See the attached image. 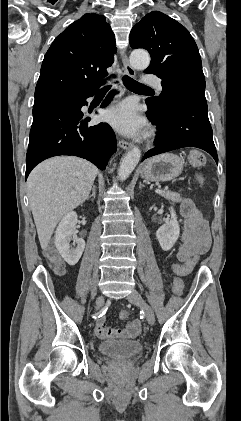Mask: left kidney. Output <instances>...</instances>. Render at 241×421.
<instances>
[{
    "instance_id": "left-kidney-1",
    "label": "left kidney",
    "mask_w": 241,
    "mask_h": 421,
    "mask_svg": "<svg viewBox=\"0 0 241 421\" xmlns=\"http://www.w3.org/2000/svg\"><path fill=\"white\" fill-rule=\"evenodd\" d=\"M171 220L162 225L156 232V237L164 251L170 250L179 238L180 228L174 209L171 207Z\"/></svg>"
}]
</instances>
